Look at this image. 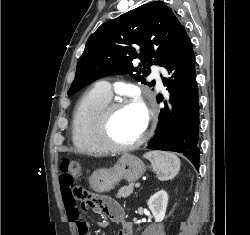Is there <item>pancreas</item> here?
I'll return each mask as SVG.
<instances>
[{
  "label": "pancreas",
  "instance_id": "cf45deb5",
  "mask_svg": "<svg viewBox=\"0 0 250 235\" xmlns=\"http://www.w3.org/2000/svg\"><path fill=\"white\" fill-rule=\"evenodd\" d=\"M133 193V184L130 183L127 186H123L118 190V193L116 194L117 198H127Z\"/></svg>",
  "mask_w": 250,
  "mask_h": 235
}]
</instances>
